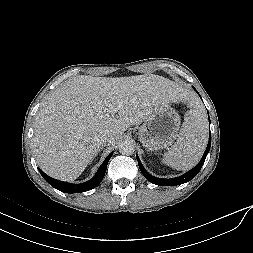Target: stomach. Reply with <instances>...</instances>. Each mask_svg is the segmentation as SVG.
Segmentation results:
<instances>
[{"mask_svg":"<svg viewBox=\"0 0 253 253\" xmlns=\"http://www.w3.org/2000/svg\"><path fill=\"white\" fill-rule=\"evenodd\" d=\"M180 117L169 105L155 110L140 126L138 137L148 151L166 149L178 136Z\"/></svg>","mask_w":253,"mask_h":253,"instance_id":"stomach-1","label":"stomach"}]
</instances>
